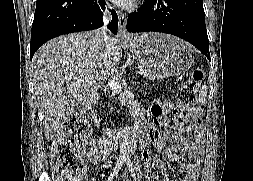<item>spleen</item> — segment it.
I'll list each match as a JSON object with an SVG mask.
<instances>
[{
    "mask_svg": "<svg viewBox=\"0 0 253 181\" xmlns=\"http://www.w3.org/2000/svg\"><path fill=\"white\" fill-rule=\"evenodd\" d=\"M206 97H207V89H206V86L204 85L202 86L199 92V98H198L199 102L202 104H205Z\"/></svg>",
    "mask_w": 253,
    "mask_h": 181,
    "instance_id": "spleen-1",
    "label": "spleen"
}]
</instances>
